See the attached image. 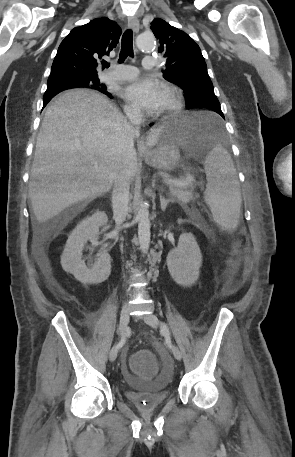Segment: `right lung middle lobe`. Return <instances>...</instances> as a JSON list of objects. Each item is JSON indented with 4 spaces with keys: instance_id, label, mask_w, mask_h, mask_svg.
<instances>
[{
    "instance_id": "1",
    "label": "right lung middle lobe",
    "mask_w": 295,
    "mask_h": 457,
    "mask_svg": "<svg viewBox=\"0 0 295 457\" xmlns=\"http://www.w3.org/2000/svg\"><path fill=\"white\" fill-rule=\"evenodd\" d=\"M83 87L92 88V89H96V90L106 89V86L104 84H100L99 78L97 76L88 77V78L84 79ZM61 91H63V90L47 89L44 94L43 100H50L53 96H55L56 94H58Z\"/></svg>"
}]
</instances>
